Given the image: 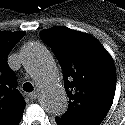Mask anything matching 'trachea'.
Segmentation results:
<instances>
[{
  "mask_svg": "<svg viewBox=\"0 0 125 125\" xmlns=\"http://www.w3.org/2000/svg\"><path fill=\"white\" fill-rule=\"evenodd\" d=\"M23 90L26 92H32L34 90V87L31 83L26 82L23 84Z\"/></svg>",
  "mask_w": 125,
  "mask_h": 125,
  "instance_id": "trachea-1",
  "label": "trachea"
}]
</instances>
